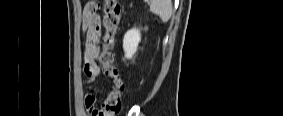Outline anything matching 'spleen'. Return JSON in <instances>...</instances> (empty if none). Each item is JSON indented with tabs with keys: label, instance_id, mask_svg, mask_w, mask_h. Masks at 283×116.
I'll return each mask as SVG.
<instances>
[{
	"label": "spleen",
	"instance_id": "1",
	"mask_svg": "<svg viewBox=\"0 0 283 116\" xmlns=\"http://www.w3.org/2000/svg\"><path fill=\"white\" fill-rule=\"evenodd\" d=\"M150 11L159 16L163 23H166L173 12L171 0H151Z\"/></svg>",
	"mask_w": 283,
	"mask_h": 116
}]
</instances>
